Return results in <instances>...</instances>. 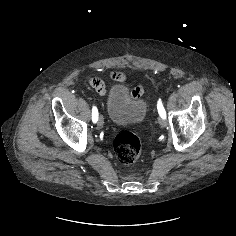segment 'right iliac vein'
Listing matches in <instances>:
<instances>
[{
  "label": "right iliac vein",
  "mask_w": 236,
  "mask_h": 236,
  "mask_svg": "<svg viewBox=\"0 0 236 236\" xmlns=\"http://www.w3.org/2000/svg\"><path fill=\"white\" fill-rule=\"evenodd\" d=\"M104 124V119L102 116H99V119H98V125L99 126H102Z\"/></svg>",
  "instance_id": "1"
}]
</instances>
